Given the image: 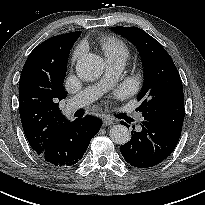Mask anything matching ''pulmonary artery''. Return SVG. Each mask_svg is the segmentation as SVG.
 Wrapping results in <instances>:
<instances>
[{"label": "pulmonary artery", "instance_id": "1", "mask_svg": "<svg viewBox=\"0 0 205 205\" xmlns=\"http://www.w3.org/2000/svg\"><path fill=\"white\" fill-rule=\"evenodd\" d=\"M124 66L125 61L123 59L106 60V74L103 81L96 85L86 87L80 93L72 97L66 106V111L72 112L83 108L97 99L105 91L106 85L116 79L122 72ZM140 120H142V118Z\"/></svg>", "mask_w": 205, "mask_h": 205}]
</instances>
